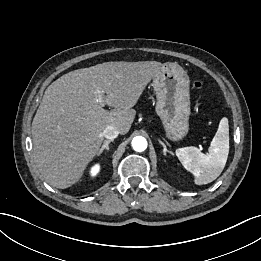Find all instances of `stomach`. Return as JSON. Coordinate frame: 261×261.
<instances>
[{
    "label": "stomach",
    "instance_id": "1",
    "mask_svg": "<svg viewBox=\"0 0 261 261\" xmlns=\"http://www.w3.org/2000/svg\"><path fill=\"white\" fill-rule=\"evenodd\" d=\"M189 85L186 71L175 63L164 64L153 78L152 86L157 98L155 110L166 136L172 141L183 139L189 131Z\"/></svg>",
    "mask_w": 261,
    "mask_h": 261
}]
</instances>
